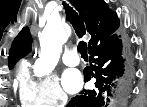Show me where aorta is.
Here are the masks:
<instances>
[{
  "instance_id": "1",
  "label": "aorta",
  "mask_w": 147,
  "mask_h": 107,
  "mask_svg": "<svg viewBox=\"0 0 147 107\" xmlns=\"http://www.w3.org/2000/svg\"><path fill=\"white\" fill-rule=\"evenodd\" d=\"M67 35L58 21L49 22L40 37V54L34 65V72L38 76L50 73L58 63L62 45Z\"/></svg>"
}]
</instances>
